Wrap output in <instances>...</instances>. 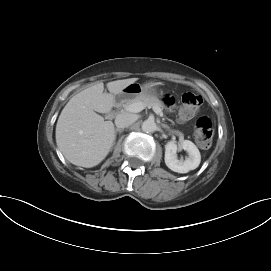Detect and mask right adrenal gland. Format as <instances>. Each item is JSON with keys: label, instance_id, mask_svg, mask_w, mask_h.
Returning a JSON list of instances; mask_svg holds the SVG:
<instances>
[{"label": "right adrenal gland", "instance_id": "1", "mask_svg": "<svg viewBox=\"0 0 271 271\" xmlns=\"http://www.w3.org/2000/svg\"><path fill=\"white\" fill-rule=\"evenodd\" d=\"M122 131H123L122 129L117 128V129L115 130V137H116V135H117L118 132L121 133Z\"/></svg>", "mask_w": 271, "mask_h": 271}]
</instances>
